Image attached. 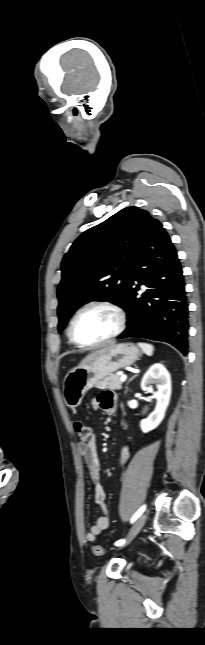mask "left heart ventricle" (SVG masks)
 Listing matches in <instances>:
<instances>
[{
	"label": "left heart ventricle",
	"mask_w": 205,
	"mask_h": 645,
	"mask_svg": "<svg viewBox=\"0 0 205 645\" xmlns=\"http://www.w3.org/2000/svg\"><path fill=\"white\" fill-rule=\"evenodd\" d=\"M116 326V317L105 308H89L83 311L74 325L76 338L84 343H92L107 337Z\"/></svg>",
	"instance_id": "1"
}]
</instances>
